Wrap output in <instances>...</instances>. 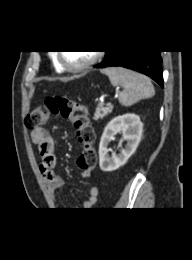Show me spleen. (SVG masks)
<instances>
[{"label": "spleen", "mask_w": 192, "mask_h": 260, "mask_svg": "<svg viewBox=\"0 0 192 260\" xmlns=\"http://www.w3.org/2000/svg\"><path fill=\"white\" fill-rule=\"evenodd\" d=\"M101 72L109 77L113 86H122L123 90L119 93L118 100L126 107L155 95L154 87L145 75L122 67H109Z\"/></svg>", "instance_id": "3e777b00"}]
</instances>
